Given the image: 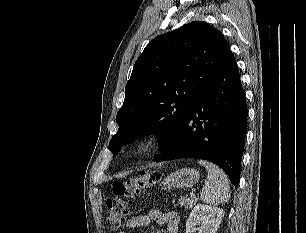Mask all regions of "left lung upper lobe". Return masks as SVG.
<instances>
[{
  "mask_svg": "<svg viewBox=\"0 0 306 233\" xmlns=\"http://www.w3.org/2000/svg\"><path fill=\"white\" fill-rule=\"evenodd\" d=\"M224 36L202 21L154 38L137 59L109 149L150 134L161 152L230 53Z\"/></svg>",
  "mask_w": 306,
  "mask_h": 233,
  "instance_id": "left-lung-upper-lobe-1",
  "label": "left lung upper lobe"
}]
</instances>
